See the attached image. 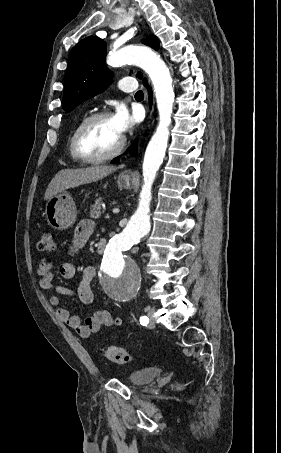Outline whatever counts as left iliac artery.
Listing matches in <instances>:
<instances>
[{"instance_id":"1","label":"left iliac artery","mask_w":281,"mask_h":453,"mask_svg":"<svg viewBox=\"0 0 281 453\" xmlns=\"http://www.w3.org/2000/svg\"><path fill=\"white\" fill-rule=\"evenodd\" d=\"M149 323V318L147 316L140 317V324L145 325Z\"/></svg>"}]
</instances>
